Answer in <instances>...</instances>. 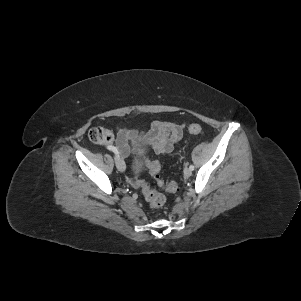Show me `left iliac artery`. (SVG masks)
<instances>
[{"label": "left iliac artery", "mask_w": 301, "mask_h": 301, "mask_svg": "<svg viewBox=\"0 0 301 301\" xmlns=\"http://www.w3.org/2000/svg\"><path fill=\"white\" fill-rule=\"evenodd\" d=\"M189 168H190L191 171L194 170V166L193 165H190Z\"/></svg>", "instance_id": "obj_1"}]
</instances>
